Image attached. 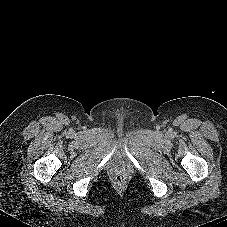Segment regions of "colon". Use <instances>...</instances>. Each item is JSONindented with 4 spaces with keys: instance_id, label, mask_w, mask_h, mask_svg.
<instances>
[{
    "instance_id": "1",
    "label": "colon",
    "mask_w": 227,
    "mask_h": 227,
    "mask_svg": "<svg viewBox=\"0 0 227 227\" xmlns=\"http://www.w3.org/2000/svg\"><path fill=\"white\" fill-rule=\"evenodd\" d=\"M125 179H126V177H125V175H123V174H120V175H118V176L116 177V180H117L119 183L124 182Z\"/></svg>"
}]
</instances>
